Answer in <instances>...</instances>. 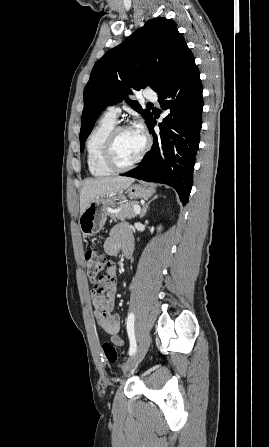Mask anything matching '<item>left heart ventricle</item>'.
Wrapping results in <instances>:
<instances>
[{
  "label": "left heart ventricle",
  "instance_id": "b2bd125f",
  "mask_svg": "<svg viewBox=\"0 0 269 447\" xmlns=\"http://www.w3.org/2000/svg\"><path fill=\"white\" fill-rule=\"evenodd\" d=\"M146 144L144 132L135 127L121 131L115 142L116 159L121 164L133 162L142 152Z\"/></svg>",
  "mask_w": 269,
  "mask_h": 447
}]
</instances>
